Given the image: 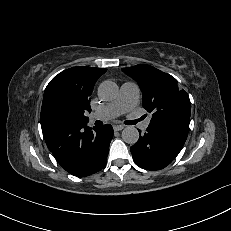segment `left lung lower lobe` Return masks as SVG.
I'll use <instances>...</instances> for the list:
<instances>
[{
  "label": "left lung lower lobe",
  "mask_w": 231,
  "mask_h": 231,
  "mask_svg": "<svg viewBox=\"0 0 231 231\" xmlns=\"http://www.w3.org/2000/svg\"><path fill=\"white\" fill-rule=\"evenodd\" d=\"M187 135L170 126L149 124L146 133L130 148L133 160L147 170L163 169L178 155Z\"/></svg>",
  "instance_id": "obj_1"
}]
</instances>
